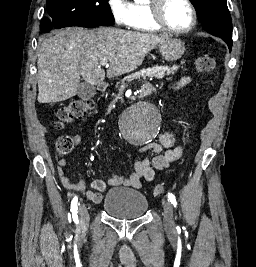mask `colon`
I'll return each instance as SVG.
<instances>
[{"instance_id":"1","label":"colon","mask_w":256,"mask_h":267,"mask_svg":"<svg viewBox=\"0 0 256 267\" xmlns=\"http://www.w3.org/2000/svg\"><path fill=\"white\" fill-rule=\"evenodd\" d=\"M198 70L206 75L210 76L209 86L215 81V61L210 57H201L197 60ZM93 103L91 100L78 99L71 101L64 107H61L56 112V119L54 121V127L56 130H63L73 120L83 118L92 111ZM58 151L64 155L69 153L73 147L74 142L70 136H61L56 142ZM153 192L155 195L160 196L165 194L166 187L162 183H156L153 186Z\"/></svg>"}]
</instances>
